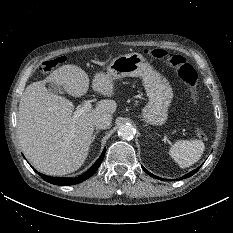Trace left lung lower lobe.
<instances>
[{
    "instance_id": "left-lung-lower-lobe-1",
    "label": "left lung lower lobe",
    "mask_w": 233,
    "mask_h": 233,
    "mask_svg": "<svg viewBox=\"0 0 233 233\" xmlns=\"http://www.w3.org/2000/svg\"><path fill=\"white\" fill-rule=\"evenodd\" d=\"M142 168H143V170H144L147 174H149L150 176L162 180V178L157 177V176H154L153 174H151L150 172H148L144 167H142ZM199 168H200V167H199ZM199 168H197V169L191 171L190 173L186 174V175H185L184 177H182V178H188V177L192 176L193 174H195V173L198 171Z\"/></svg>"
}]
</instances>
